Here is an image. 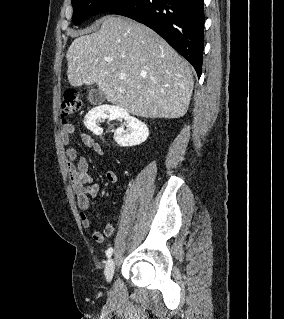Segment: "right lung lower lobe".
Masks as SVG:
<instances>
[{
  "label": "right lung lower lobe",
  "instance_id": "1",
  "mask_svg": "<svg viewBox=\"0 0 284 319\" xmlns=\"http://www.w3.org/2000/svg\"><path fill=\"white\" fill-rule=\"evenodd\" d=\"M143 23L163 37L202 73L203 0H130L111 11Z\"/></svg>",
  "mask_w": 284,
  "mask_h": 319
}]
</instances>
